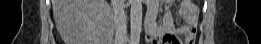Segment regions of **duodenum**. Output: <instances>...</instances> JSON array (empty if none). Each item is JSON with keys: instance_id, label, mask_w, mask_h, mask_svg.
I'll return each mask as SVG.
<instances>
[{"instance_id": "obj_1", "label": "duodenum", "mask_w": 261, "mask_h": 44, "mask_svg": "<svg viewBox=\"0 0 261 44\" xmlns=\"http://www.w3.org/2000/svg\"><path fill=\"white\" fill-rule=\"evenodd\" d=\"M147 15H148V13H147ZM151 25H152V20L147 16L146 17V25H145V29H146L147 34L150 32Z\"/></svg>"}]
</instances>
